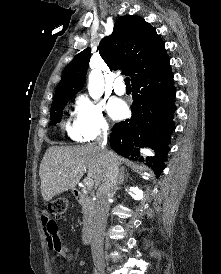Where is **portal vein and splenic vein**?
Listing matches in <instances>:
<instances>
[{
	"instance_id": "18ae733b",
	"label": "portal vein and splenic vein",
	"mask_w": 221,
	"mask_h": 274,
	"mask_svg": "<svg viewBox=\"0 0 221 274\" xmlns=\"http://www.w3.org/2000/svg\"><path fill=\"white\" fill-rule=\"evenodd\" d=\"M83 182H84V186L87 188H91L94 185L93 179L89 177L85 178Z\"/></svg>"
}]
</instances>
